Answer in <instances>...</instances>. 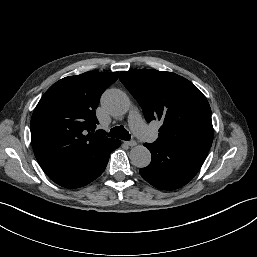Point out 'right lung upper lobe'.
I'll list each match as a JSON object with an SVG mask.
<instances>
[{
	"instance_id": "cb5924a9",
	"label": "right lung upper lobe",
	"mask_w": 257,
	"mask_h": 257,
	"mask_svg": "<svg viewBox=\"0 0 257 257\" xmlns=\"http://www.w3.org/2000/svg\"><path fill=\"white\" fill-rule=\"evenodd\" d=\"M118 73L90 71L53 84L37 104L30 123L33 150L49 176L81 165L113 140L91 133L101 94Z\"/></svg>"
}]
</instances>
